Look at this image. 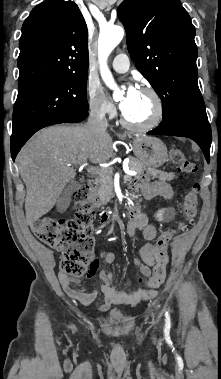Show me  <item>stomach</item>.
Returning <instances> with one entry per match:
<instances>
[{
    "instance_id": "1",
    "label": "stomach",
    "mask_w": 221,
    "mask_h": 379,
    "mask_svg": "<svg viewBox=\"0 0 221 379\" xmlns=\"http://www.w3.org/2000/svg\"><path fill=\"white\" fill-rule=\"evenodd\" d=\"M133 152L138 160L153 168L162 166L168 160L167 147L156 137L137 135L133 139Z\"/></svg>"
}]
</instances>
